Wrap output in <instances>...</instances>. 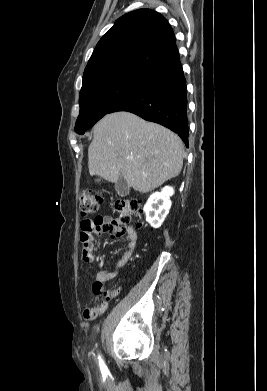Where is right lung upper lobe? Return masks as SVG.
Masks as SVG:
<instances>
[{"label":"right lung upper lobe","mask_w":267,"mask_h":391,"mask_svg":"<svg viewBox=\"0 0 267 391\" xmlns=\"http://www.w3.org/2000/svg\"><path fill=\"white\" fill-rule=\"evenodd\" d=\"M179 58L173 30L150 9L120 17L100 39L83 74V83L102 74L133 71L151 74Z\"/></svg>","instance_id":"cb5924a9"}]
</instances>
